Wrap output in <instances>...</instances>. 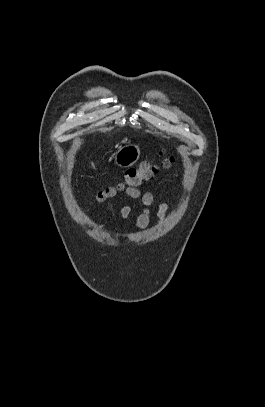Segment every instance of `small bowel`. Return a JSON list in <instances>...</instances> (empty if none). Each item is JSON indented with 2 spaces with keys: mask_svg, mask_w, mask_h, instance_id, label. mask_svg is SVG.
I'll return each mask as SVG.
<instances>
[{
  "mask_svg": "<svg viewBox=\"0 0 265 407\" xmlns=\"http://www.w3.org/2000/svg\"><path fill=\"white\" fill-rule=\"evenodd\" d=\"M124 194H125V197L128 199H140V202L142 204V209L136 219V228H138V229L147 228L151 221L150 207L153 205V202H154L153 194L151 192L142 193L138 188H126ZM167 211H168V204L161 203L159 205V208L157 211L156 225L158 227L163 224ZM131 213H132V208L129 205H124L120 209L121 218H127L128 216H130ZM105 227H106L105 225H99L98 229H104Z\"/></svg>",
  "mask_w": 265,
  "mask_h": 407,
  "instance_id": "obj_1",
  "label": "small bowel"
}]
</instances>
